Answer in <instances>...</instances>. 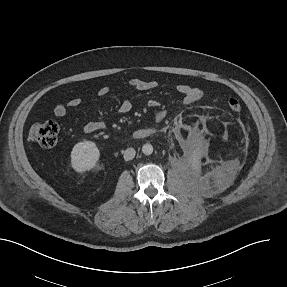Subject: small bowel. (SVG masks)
Segmentation results:
<instances>
[{"instance_id":"1","label":"small bowel","mask_w":287,"mask_h":287,"mask_svg":"<svg viewBox=\"0 0 287 287\" xmlns=\"http://www.w3.org/2000/svg\"><path fill=\"white\" fill-rule=\"evenodd\" d=\"M131 88L137 91H151L158 88L157 82L153 80H145L141 78H131L129 80ZM175 90L182 96L185 104H193L198 102L203 97V91L195 86L188 84H179L175 87ZM110 89L107 86H103L99 89L100 96H105L109 93ZM81 100L79 98H72L67 103H58L54 107V114L57 117H63L66 115L68 107H77L80 105ZM132 110V103L129 100H124L118 107V113L126 114ZM167 111L161 109L155 114V121L160 123L165 120ZM107 128V124L101 121H90L83 126V132L86 134L95 133Z\"/></svg>"}]
</instances>
